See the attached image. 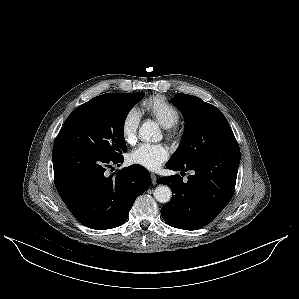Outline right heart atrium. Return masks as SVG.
Listing matches in <instances>:
<instances>
[{"label": "right heart atrium", "instance_id": "obj_1", "mask_svg": "<svg viewBox=\"0 0 299 299\" xmlns=\"http://www.w3.org/2000/svg\"><path fill=\"white\" fill-rule=\"evenodd\" d=\"M141 120L139 111L132 108L126 112L121 122V134L124 141L132 145L137 140V132Z\"/></svg>", "mask_w": 299, "mask_h": 299}]
</instances>
